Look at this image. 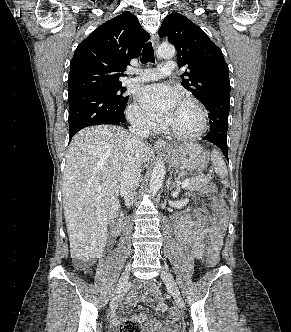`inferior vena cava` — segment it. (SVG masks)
Masks as SVG:
<instances>
[{
    "label": "inferior vena cava",
    "mask_w": 291,
    "mask_h": 332,
    "mask_svg": "<svg viewBox=\"0 0 291 332\" xmlns=\"http://www.w3.org/2000/svg\"><path fill=\"white\" fill-rule=\"evenodd\" d=\"M151 124L142 118H136L130 127L127 152L124 157L120 191L127 206L135 202L134 194L139 185L143 161L142 147L144 139L149 137Z\"/></svg>",
    "instance_id": "1"
}]
</instances>
